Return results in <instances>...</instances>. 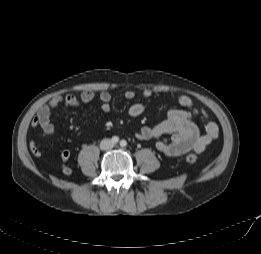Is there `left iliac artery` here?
Returning a JSON list of instances; mask_svg holds the SVG:
<instances>
[{
    "instance_id": "obj_1",
    "label": "left iliac artery",
    "mask_w": 261,
    "mask_h": 254,
    "mask_svg": "<svg viewBox=\"0 0 261 254\" xmlns=\"http://www.w3.org/2000/svg\"><path fill=\"white\" fill-rule=\"evenodd\" d=\"M127 145V142L125 140H121L120 146L125 147Z\"/></svg>"
}]
</instances>
